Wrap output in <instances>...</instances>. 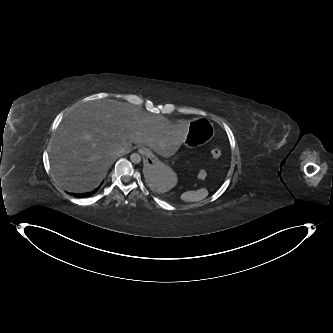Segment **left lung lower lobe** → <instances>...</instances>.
I'll use <instances>...</instances> for the list:
<instances>
[{
    "label": "left lung lower lobe",
    "mask_w": 333,
    "mask_h": 333,
    "mask_svg": "<svg viewBox=\"0 0 333 333\" xmlns=\"http://www.w3.org/2000/svg\"><path fill=\"white\" fill-rule=\"evenodd\" d=\"M144 174L148 180H151L155 174V169L151 165H147L144 169Z\"/></svg>",
    "instance_id": "left-lung-lower-lobe-1"
}]
</instances>
